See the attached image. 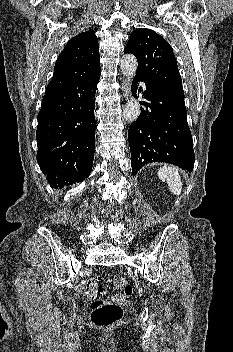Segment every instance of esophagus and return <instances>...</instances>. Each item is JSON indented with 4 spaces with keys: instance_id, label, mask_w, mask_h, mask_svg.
<instances>
[{
    "instance_id": "esophagus-1",
    "label": "esophagus",
    "mask_w": 233,
    "mask_h": 352,
    "mask_svg": "<svg viewBox=\"0 0 233 352\" xmlns=\"http://www.w3.org/2000/svg\"><path fill=\"white\" fill-rule=\"evenodd\" d=\"M122 92L125 98H128L130 95V82L128 79H125L122 83Z\"/></svg>"
}]
</instances>
